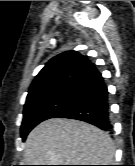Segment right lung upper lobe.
Instances as JSON below:
<instances>
[{
	"label": "right lung upper lobe",
	"mask_w": 135,
	"mask_h": 166,
	"mask_svg": "<svg viewBox=\"0 0 135 166\" xmlns=\"http://www.w3.org/2000/svg\"><path fill=\"white\" fill-rule=\"evenodd\" d=\"M95 70V65L77 51L63 52L46 63L33 80L26 103L59 87L68 86Z\"/></svg>",
	"instance_id": "cb5924a9"
}]
</instances>
